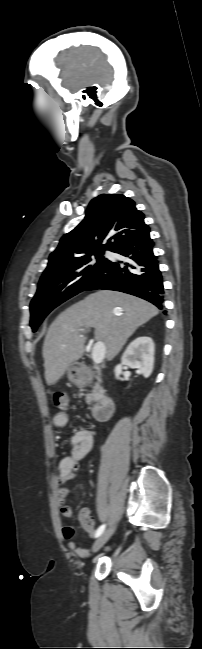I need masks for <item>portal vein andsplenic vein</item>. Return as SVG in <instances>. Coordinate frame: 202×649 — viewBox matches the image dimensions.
<instances>
[{
  "label": "portal vein and splenic vein",
  "mask_w": 202,
  "mask_h": 649,
  "mask_svg": "<svg viewBox=\"0 0 202 649\" xmlns=\"http://www.w3.org/2000/svg\"><path fill=\"white\" fill-rule=\"evenodd\" d=\"M81 331H84L82 329ZM105 346L104 343L101 341H98L94 344L93 349H92V359L95 364H100L104 357H105Z\"/></svg>",
  "instance_id": "obj_1"
}]
</instances>
